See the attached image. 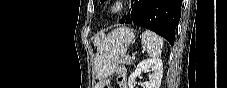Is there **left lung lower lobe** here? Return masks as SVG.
Masks as SVG:
<instances>
[{"label": "left lung lower lobe", "instance_id": "0a47b994", "mask_svg": "<svg viewBox=\"0 0 227 88\" xmlns=\"http://www.w3.org/2000/svg\"><path fill=\"white\" fill-rule=\"evenodd\" d=\"M182 0H136L132 12L120 23H134L167 39L173 46L175 29L181 17Z\"/></svg>", "mask_w": 227, "mask_h": 88}]
</instances>
